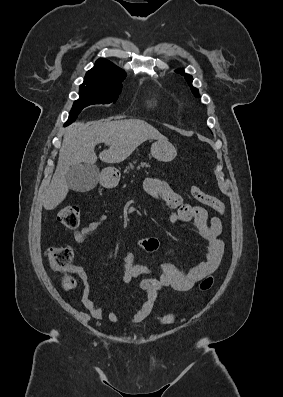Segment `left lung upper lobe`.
Listing matches in <instances>:
<instances>
[{
  "label": "left lung upper lobe",
  "instance_id": "obj_1",
  "mask_svg": "<svg viewBox=\"0 0 283 397\" xmlns=\"http://www.w3.org/2000/svg\"><path fill=\"white\" fill-rule=\"evenodd\" d=\"M176 73H180L181 75H183L185 77L186 81L188 82V84L191 87L193 94L198 97V90L196 88L192 87V81H193L192 76L189 74H186L183 69L176 70Z\"/></svg>",
  "mask_w": 283,
  "mask_h": 397
}]
</instances>
